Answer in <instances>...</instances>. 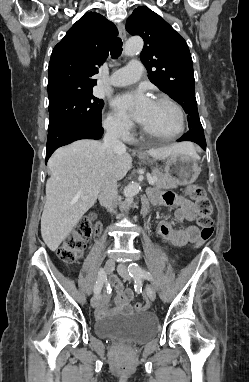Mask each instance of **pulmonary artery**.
<instances>
[{
    "instance_id": "obj_1",
    "label": "pulmonary artery",
    "mask_w": 249,
    "mask_h": 382,
    "mask_svg": "<svg viewBox=\"0 0 249 382\" xmlns=\"http://www.w3.org/2000/svg\"><path fill=\"white\" fill-rule=\"evenodd\" d=\"M143 74L140 61H131L125 67L118 69L111 77L110 84L115 87L126 86L139 80Z\"/></svg>"
}]
</instances>
